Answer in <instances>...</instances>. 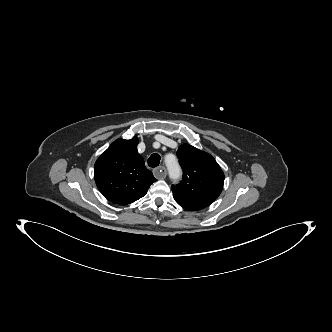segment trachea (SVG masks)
<instances>
[{
	"label": "trachea",
	"mask_w": 332,
	"mask_h": 332,
	"mask_svg": "<svg viewBox=\"0 0 332 332\" xmlns=\"http://www.w3.org/2000/svg\"><path fill=\"white\" fill-rule=\"evenodd\" d=\"M160 159H161V157L159 156V154L154 153L149 157L148 165L150 167H157L160 163Z\"/></svg>",
	"instance_id": "obj_1"
}]
</instances>
